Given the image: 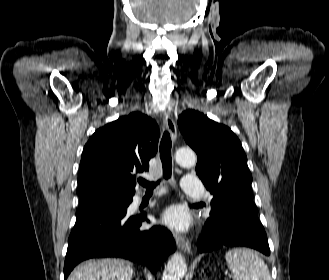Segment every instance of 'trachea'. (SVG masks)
I'll list each match as a JSON object with an SVG mask.
<instances>
[{"label":"trachea","instance_id":"3493384b","mask_svg":"<svg viewBox=\"0 0 329 280\" xmlns=\"http://www.w3.org/2000/svg\"><path fill=\"white\" fill-rule=\"evenodd\" d=\"M160 159L163 167V178L169 179L172 174V156H171V138L170 134L166 131L162 137L160 143ZM146 190L153 191L157 184L160 183V180L157 182H148L144 179L138 181Z\"/></svg>","mask_w":329,"mask_h":280}]
</instances>
